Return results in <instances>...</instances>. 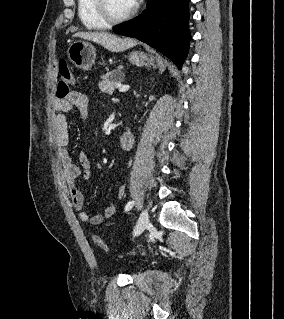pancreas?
<instances>
[{
    "label": "pancreas",
    "instance_id": "obj_1",
    "mask_svg": "<svg viewBox=\"0 0 284 319\" xmlns=\"http://www.w3.org/2000/svg\"><path fill=\"white\" fill-rule=\"evenodd\" d=\"M99 82V89L103 93L112 94L124 79V75L121 72L113 71L106 73L101 77Z\"/></svg>",
    "mask_w": 284,
    "mask_h": 319
}]
</instances>
